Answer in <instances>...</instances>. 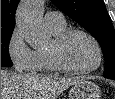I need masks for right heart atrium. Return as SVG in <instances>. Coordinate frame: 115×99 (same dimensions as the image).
I'll list each match as a JSON object with an SVG mask.
<instances>
[{"label":"right heart atrium","mask_w":115,"mask_h":99,"mask_svg":"<svg viewBox=\"0 0 115 99\" xmlns=\"http://www.w3.org/2000/svg\"><path fill=\"white\" fill-rule=\"evenodd\" d=\"M7 52L17 71L28 72L33 70L35 51L27 45L24 34L19 27H15L9 37Z\"/></svg>","instance_id":"right-heart-atrium-1"}]
</instances>
